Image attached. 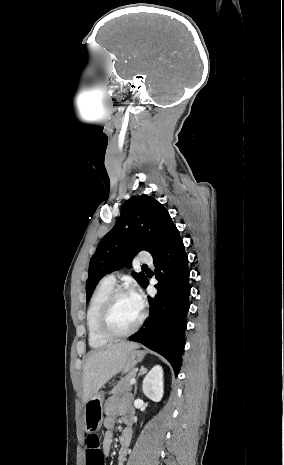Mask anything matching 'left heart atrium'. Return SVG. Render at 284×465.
<instances>
[{"label": "left heart atrium", "mask_w": 284, "mask_h": 465, "mask_svg": "<svg viewBox=\"0 0 284 465\" xmlns=\"http://www.w3.org/2000/svg\"><path fill=\"white\" fill-rule=\"evenodd\" d=\"M132 297L134 298V300L136 301V303L142 307L143 305V296L142 294L138 291V290H134L133 293H132Z\"/></svg>", "instance_id": "left-heart-atrium-1"}]
</instances>
